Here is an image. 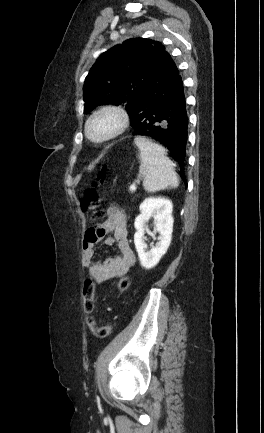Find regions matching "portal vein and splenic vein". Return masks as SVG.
<instances>
[{
	"instance_id": "1",
	"label": "portal vein and splenic vein",
	"mask_w": 264,
	"mask_h": 433,
	"mask_svg": "<svg viewBox=\"0 0 264 433\" xmlns=\"http://www.w3.org/2000/svg\"><path fill=\"white\" fill-rule=\"evenodd\" d=\"M130 192H134L136 191V186L135 185H131L129 188Z\"/></svg>"
}]
</instances>
